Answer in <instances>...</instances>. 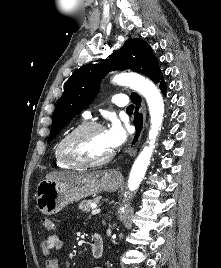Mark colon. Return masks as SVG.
<instances>
[{
  "mask_svg": "<svg viewBox=\"0 0 221 268\" xmlns=\"http://www.w3.org/2000/svg\"><path fill=\"white\" fill-rule=\"evenodd\" d=\"M41 225L47 232H51L54 230V223L53 221L48 217H42L41 218Z\"/></svg>",
  "mask_w": 221,
  "mask_h": 268,
  "instance_id": "colon-1",
  "label": "colon"
}]
</instances>
